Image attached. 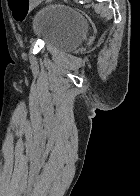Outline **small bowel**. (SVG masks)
Returning a JSON list of instances; mask_svg holds the SVG:
<instances>
[{
	"label": "small bowel",
	"instance_id": "1",
	"mask_svg": "<svg viewBox=\"0 0 140 196\" xmlns=\"http://www.w3.org/2000/svg\"><path fill=\"white\" fill-rule=\"evenodd\" d=\"M37 1H39V0H33V2H37Z\"/></svg>",
	"mask_w": 140,
	"mask_h": 196
}]
</instances>
